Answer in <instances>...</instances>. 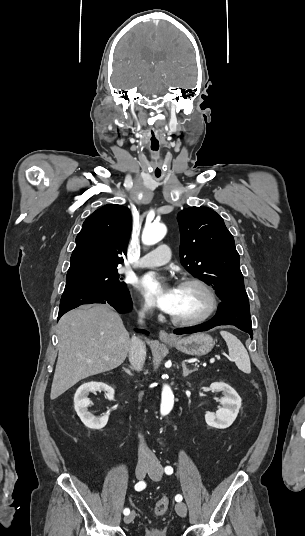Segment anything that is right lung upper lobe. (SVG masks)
<instances>
[{"instance_id": "cb5924a9", "label": "right lung upper lobe", "mask_w": 305, "mask_h": 536, "mask_svg": "<svg viewBox=\"0 0 305 536\" xmlns=\"http://www.w3.org/2000/svg\"><path fill=\"white\" fill-rule=\"evenodd\" d=\"M130 232L127 207L108 204L93 212L76 237L66 278L117 269L127 253Z\"/></svg>"}]
</instances>
